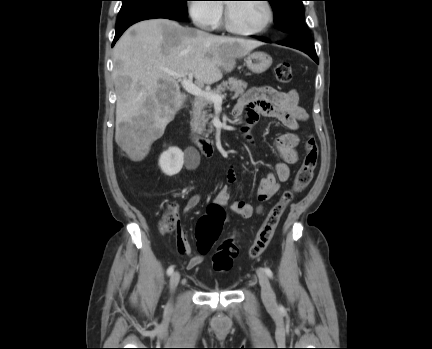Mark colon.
Masks as SVG:
<instances>
[{"label": "colon", "instance_id": "5ec220e1", "mask_svg": "<svg viewBox=\"0 0 432 349\" xmlns=\"http://www.w3.org/2000/svg\"><path fill=\"white\" fill-rule=\"evenodd\" d=\"M276 79L281 83H288L292 79V68L287 62H280L274 69ZM318 163V146L313 136H308L305 141V154L291 187L285 190L280 198L269 210L263 224L258 230L255 239L249 248V256L258 258L267 248L274 237L276 228L287 206L293 199L307 188L311 183ZM225 216L223 207L212 204L207 215L197 223L196 239L197 247L201 254L209 252L220 235L222 220ZM177 225L174 204H169L167 212L161 220V229L170 232ZM238 255V247L233 240H226L216 249L212 257L213 267L218 272L228 271L232 268Z\"/></svg>", "mask_w": 432, "mask_h": 349}]
</instances>
